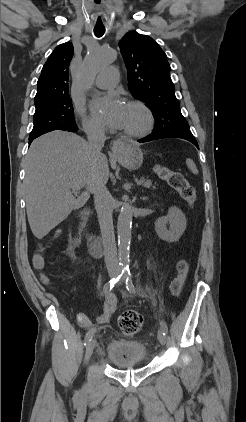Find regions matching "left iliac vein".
Here are the masks:
<instances>
[{
  "label": "left iliac vein",
  "instance_id": "4c4485c4",
  "mask_svg": "<svg viewBox=\"0 0 246 422\" xmlns=\"http://www.w3.org/2000/svg\"><path fill=\"white\" fill-rule=\"evenodd\" d=\"M158 340L161 345H164L166 342V336L164 335V331L162 328L158 330Z\"/></svg>",
  "mask_w": 246,
  "mask_h": 422
}]
</instances>
